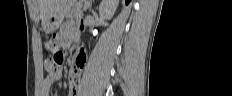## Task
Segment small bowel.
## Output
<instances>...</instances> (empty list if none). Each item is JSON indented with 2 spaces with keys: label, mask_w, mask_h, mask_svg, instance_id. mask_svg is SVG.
Masks as SVG:
<instances>
[{
  "label": "small bowel",
  "mask_w": 232,
  "mask_h": 96,
  "mask_svg": "<svg viewBox=\"0 0 232 96\" xmlns=\"http://www.w3.org/2000/svg\"><path fill=\"white\" fill-rule=\"evenodd\" d=\"M82 20L85 18L83 15L80 17ZM85 27V22H80L77 20H68L64 22L56 34V41L60 46H66L69 43H83V38H78L79 35H82V30ZM87 57L83 51H79L73 62V67L69 74V95L77 96L79 93V83L82 72L86 66ZM49 62H46L48 67ZM62 76L61 70L57 72L50 73L44 77L41 81L40 93L42 96H47L50 93L52 85L58 81Z\"/></svg>",
  "instance_id": "obj_1"
}]
</instances>
